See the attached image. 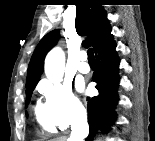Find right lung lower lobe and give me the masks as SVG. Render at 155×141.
<instances>
[{"instance_id":"98d812e1","label":"right lung lower lobe","mask_w":155,"mask_h":141,"mask_svg":"<svg viewBox=\"0 0 155 141\" xmlns=\"http://www.w3.org/2000/svg\"><path fill=\"white\" fill-rule=\"evenodd\" d=\"M116 43L108 33L94 47L97 70L93 73L92 81L96 82L99 95L87 98L90 140L97 129L106 131L115 120V105L118 103L117 88L119 85V63L116 52Z\"/></svg>"}]
</instances>
